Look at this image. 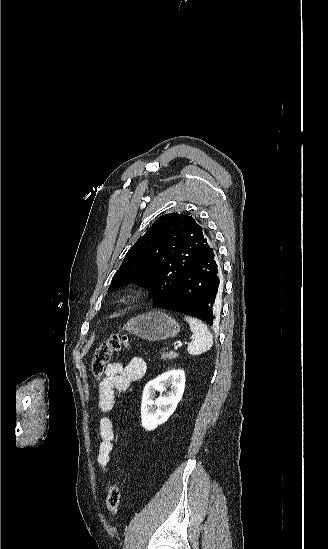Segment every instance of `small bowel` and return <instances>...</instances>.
Masks as SVG:
<instances>
[{"label":"small bowel","mask_w":328,"mask_h":549,"mask_svg":"<svg viewBox=\"0 0 328 549\" xmlns=\"http://www.w3.org/2000/svg\"><path fill=\"white\" fill-rule=\"evenodd\" d=\"M146 363L141 357H132L128 363L111 362L105 368V376L99 385L98 408L104 415L99 420L101 442L97 462L104 472H109L113 449L114 427L109 413L115 404V393L126 392L131 383L144 377Z\"/></svg>","instance_id":"small-bowel-1"}]
</instances>
